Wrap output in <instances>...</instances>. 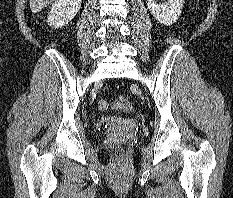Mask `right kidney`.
Masks as SVG:
<instances>
[{
	"label": "right kidney",
	"mask_w": 233,
	"mask_h": 198,
	"mask_svg": "<svg viewBox=\"0 0 233 198\" xmlns=\"http://www.w3.org/2000/svg\"><path fill=\"white\" fill-rule=\"evenodd\" d=\"M82 0H56L48 15V24L59 28L68 24L78 13Z\"/></svg>",
	"instance_id": "right-kidney-1"
}]
</instances>
